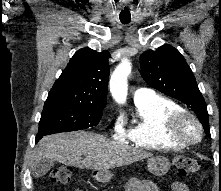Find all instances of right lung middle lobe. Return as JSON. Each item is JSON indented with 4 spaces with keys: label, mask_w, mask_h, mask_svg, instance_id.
I'll return each mask as SVG.
<instances>
[{
    "label": "right lung middle lobe",
    "mask_w": 221,
    "mask_h": 191,
    "mask_svg": "<svg viewBox=\"0 0 221 191\" xmlns=\"http://www.w3.org/2000/svg\"><path fill=\"white\" fill-rule=\"evenodd\" d=\"M102 109L99 106L73 103L44 105L37 138L96 126L102 117Z\"/></svg>",
    "instance_id": "dd1d6c3e"
}]
</instances>
